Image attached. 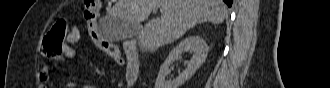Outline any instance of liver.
<instances>
[{"mask_svg":"<svg viewBox=\"0 0 330 88\" xmlns=\"http://www.w3.org/2000/svg\"><path fill=\"white\" fill-rule=\"evenodd\" d=\"M156 7H160L161 18L148 21L136 35L143 52H155L174 42L197 23L220 24L227 16L222 0H118L107 21L138 24Z\"/></svg>","mask_w":330,"mask_h":88,"instance_id":"6515ba94","label":"liver"}]
</instances>
